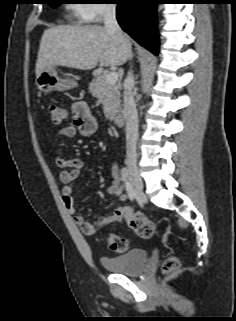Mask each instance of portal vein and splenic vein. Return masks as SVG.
<instances>
[{
	"mask_svg": "<svg viewBox=\"0 0 236 321\" xmlns=\"http://www.w3.org/2000/svg\"><path fill=\"white\" fill-rule=\"evenodd\" d=\"M118 80V74L115 71L108 72L106 74V82L108 84H115Z\"/></svg>",
	"mask_w": 236,
	"mask_h": 321,
	"instance_id": "obj_1",
	"label": "portal vein and splenic vein"
}]
</instances>
